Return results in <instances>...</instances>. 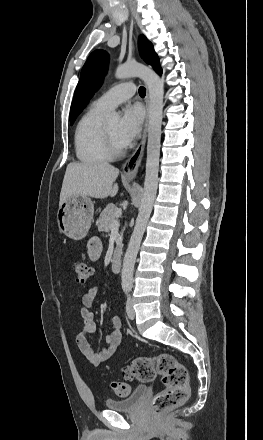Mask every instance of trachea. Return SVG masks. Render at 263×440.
I'll return each instance as SVG.
<instances>
[{
	"mask_svg": "<svg viewBox=\"0 0 263 440\" xmlns=\"http://www.w3.org/2000/svg\"><path fill=\"white\" fill-rule=\"evenodd\" d=\"M139 95L140 96H145L146 95V89L143 86H141L139 88Z\"/></svg>",
	"mask_w": 263,
	"mask_h": 440,
	"instance_id": "3493384b",
	"label": "trachea"
}]
</instances>
